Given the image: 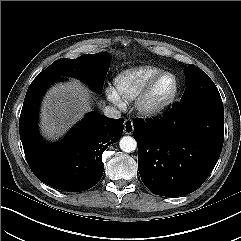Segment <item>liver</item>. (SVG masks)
<instances>
[{"label": "liver", "mask_w": 241, "mask_h": 241, "mask_svg": "<svg viewBox=\"0 0 241 241\" xmlns=\"http://www.w3.org/2000/svg\"><path fill=\"white\" fill-rule=\"evenodd\" d=\"M89 111L91 92L78 80L53 86L42 101V135L49 140L58 139Z\"/></svg>", "instance_id": "obj_1"}]
</instances>
